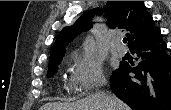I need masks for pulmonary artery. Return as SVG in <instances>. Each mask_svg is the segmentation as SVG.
Listing matches in <instances>:
<instances>
[{"instance_id":"1","label":"pulmonary artery","mask_w":171,"mask_h":110,"mask_svg":"<svg viewBox=\"0 0 171 110\" xmlns=\"http://www.w3.org/2000/svg\"><path fill=\"white\" fill-rule=\"evenodd\" d=\"M110 51L114 56L122 57L125 54V50L122 46L121 39H116L113 41L110 47Z\"/></svg>"}]
</instances>
